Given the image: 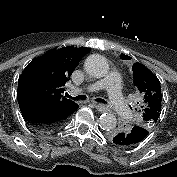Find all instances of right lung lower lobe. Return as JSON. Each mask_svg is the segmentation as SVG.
Instances as JSON below:
<instances>
[{"label":"right lung lower lobe","mask_w":177,"mask_h":177,"mask_svg":"<svg viewBox=\"0 0 177 177\" xmlns=\"http://www.w3.org/2000/svg\"><path fill=\"white\" fill-rule=\"evenodd\" d=\"M22 115L27 123L38 131H51L62 126L78 108L75 104L69 109L49 108L47 106L21 104Z\"/></svg>","instance_id":"1"}]
</instances>
